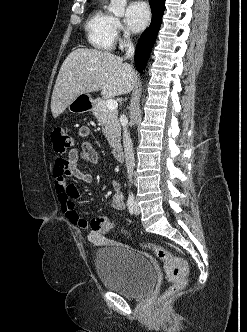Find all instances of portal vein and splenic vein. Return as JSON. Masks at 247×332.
I'll list each match as a JSON object with an SVG mask.
<instances>
[{"label":"portal vein and splenic vein","instance_id":"portal-vein-and-splenic-vein-1","mask_svg":"<svg viewBox=\"0 0 247 332\" xmlns=\"http://www.w3.org/2000/svg\"><path fill=\"white\" fill-rule=\"evenodd\" d=\"M105 104H106V107L108 109H111V110H114V109H116L118 107V103L114 99H108V100H106Z\"/></svg>","mask_w":247,"mask_h":332}]
</instances>
